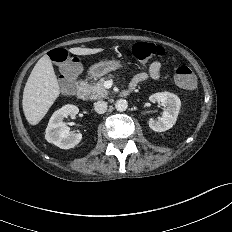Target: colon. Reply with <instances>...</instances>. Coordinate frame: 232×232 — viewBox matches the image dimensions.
Masks as SVG:
<instances>
[{
  "label": "colon",
  "mask_w": 232,
  "mask_h": 232,
  "mask_svg": "<svg viewBox=\"0 0 232 232\" xmlns=\"http://www.w3.org/2000/svg\"><path fill=\"white\" fill-rule=\"evenodd\" d=\"M134 57L145 62L163 56L165 50L161 45L147 42H137L130 47ZM49 57L52 61L61 64V87L70 92L75 88V79L79 71L76 59H71L67 50L56 48L50 51ZM174 81L182 89L191 90L195 88L197 80L193 71L186 65L176 68Z\"/></svg>",
  "instance_id": "obj_1"
}]
</instances>
